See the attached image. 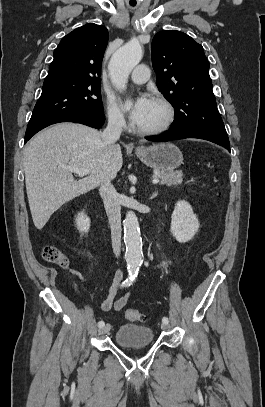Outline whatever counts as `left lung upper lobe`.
I'll return each instance as SVG.
<instances>
[{
  "label": "left lung upper lobe",
  "mask_w": 265,
  "mask_h": 407,
  "mask_svg": "<svg viewBox=\"0 0 265 407\" xmlns=\"http://www.w3.org/2000/svg\"><path fill=\"white\" fill-rule=\"evenodd\" d=\"M152 64L159 91L175 110L170 131H196L229 141L203 47L183 32L164 30L153 38Z\"/></svg>",
  "instance_id": "obj_1"
}]
</instances>
